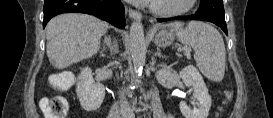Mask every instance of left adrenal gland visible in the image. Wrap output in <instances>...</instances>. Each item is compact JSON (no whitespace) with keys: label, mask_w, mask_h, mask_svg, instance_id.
<instances>
[{"label":"left adrenal gland","mask_w":273,"mask_h":118,"mask_svg":"<svg viewBox=\"0 0 273 118\" xmlns=\"http://www.w3.org/2000/svg\"><path fill=\"white\" fill-rule=\"evenodd\" d=\"M155 55L158 56L159 58H161V53H160L159 49L157 50V53Z\"/></svg>","instance_id":"left-adrenal-gland-1"}]
</instances>
